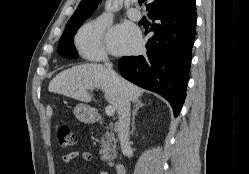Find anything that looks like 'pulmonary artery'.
Returning a JSON list of instances; mask_svg holds the SVG:
<instances>
[{"label": "pulmonary artery", "mask_w": 249, "mask_h": 174, "mask_svg": "<svg viewBox=\"0 0 249 174\" xmlns=\"http://www.w3.org/2000/svg\"><path fill=\"white\" fill-rule=\"evenodd\" d=\"M134 1V0H131ZM127 15L130 19L134 21H139L142 18L140 11L137 8H129L127 9Z\"/></svg>", "instance_id": "obj_1"}]
</instances>
